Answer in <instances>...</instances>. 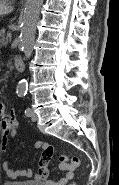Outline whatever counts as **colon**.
I'll return each mask as SVG.
<instances>
[{
    "label": "colon",
    "instance_id": "1",
    "mask_svg": "<svg viewBox=\"0 0 119 185\" xmlns=\"http://www.w3.org/2000/svg\"><path fill=\"white\" fill-rule=\"evenodd\" d=\"M59 159H60L61 164L75 167V168H77L80 163V161L77 157H68L66 155H61ZM69 185H76V183L72 182Z\"/></svg>",
    "mask_w": 119,
    "mask_h": 185
}]
</instances>
